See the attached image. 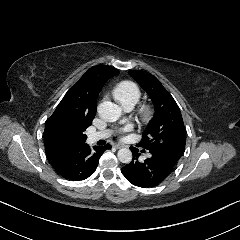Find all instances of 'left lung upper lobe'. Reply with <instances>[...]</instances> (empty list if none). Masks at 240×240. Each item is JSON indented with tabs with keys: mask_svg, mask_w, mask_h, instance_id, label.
Segmentation results:
<instances>
[{
	"mask_svg": "<svg viewBox=\"0 0 240 240\" xmlns=\"http://www.w3.org/2000/svg\"><path fill=\"white\" fill-rule=\"evenodd\" d=\"M129 74L150 96L155 109L139 146L159 150L166 157L178 161L185 149L186 130L177 103L152 74L139 70L129 71Z\"/></svg>",
	"mask_w": 240,
	"mask_h": 240,
	"instance_id": "obj_1",
	"label": "left lung upper lobe"
}]
</instances>
